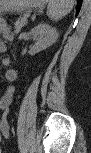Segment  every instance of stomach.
<instances>
[{
	"instance_id": "1",
	"label": "stomach",
	"mask_w": 91,
	"mask_h": 153,
	"mask_svg": "<svg viewBox=\"0 0 91 153\" xmlns=\"http://www.w3.org/2000/svg\"><path fill=\"white\" fill-rule=\"evenodd\" d=\"M44 3L45 1H39V0H15V1L1 0L2 7L15 5L16 7L14 8V10L16 11H20L32 6L42 5Z\"/></svg>"
}]
</instances>
